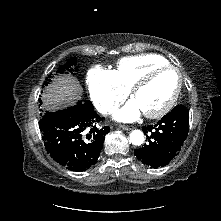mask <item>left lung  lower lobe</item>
I'll list each match as a JSON object with an SVG mask.
<instances>
[{
  "instance_id": "1",
  "label": "left lung lower lobe",
  "mask_w": 221,
  "mask_h": 221,
  "mask_svg": "<svg viewBox=\"0 0 221 221\" xmlns=\"http://www.w3.org/2000/svg\"><path fill=\"white\" fill-rule=\"evenodd\" d=\"M188 129L189 110L183 105H177L155 125L142 128L148 142L142 148L135 149L134 154L147 166L164 167L178 155L187 138Z\"/></svg>"
}]
</instances>
